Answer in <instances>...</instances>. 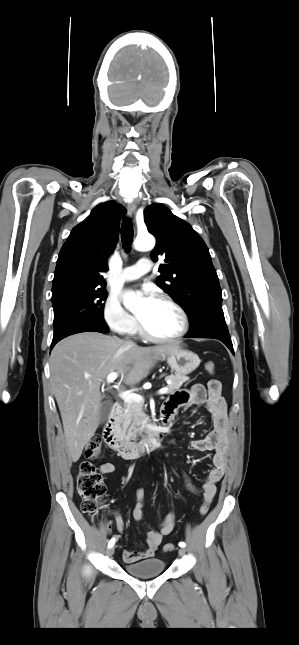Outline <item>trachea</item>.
I'll return each mask as SVG.
<instances>
[{"mask_svg":"<svg viewBox=\"0 0 299 645\" xmlns=\"http://www.w3.org/2000/svg\"><path fill=\"white\" fill-rule=\"evenodd\" d=\"M133 236H134V231H133V226L132 223L129 219H125L122 222L121 226V241L123 244V248L127 251L130 252L131 250V244L133 242Z\"/></svg>","mask_w":299,"mask_h":645,"instance_id":"obj_1","label":"trachea"}]
</instances>
